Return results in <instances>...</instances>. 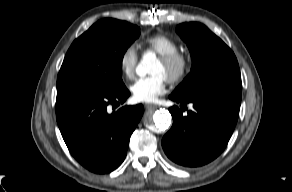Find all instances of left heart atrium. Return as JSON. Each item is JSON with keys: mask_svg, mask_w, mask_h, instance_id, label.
Masks as SVG:
<instances>
[{"mask_svg": "<svg viewBox=\"0 0 292 192\" xmlns=\"http://www.w3.org/2000/svg\"><path fill=\"white\" fill-rule=\"evenodd\" d=\"M133 99L137 102H153L166 91V77L162 74L137 79L130 87Z\"/></svg>", "mask_w": 292, "mask_h": 192, "instance_id": "obj_1", "label": "left heart atrium"}]
</instances>
